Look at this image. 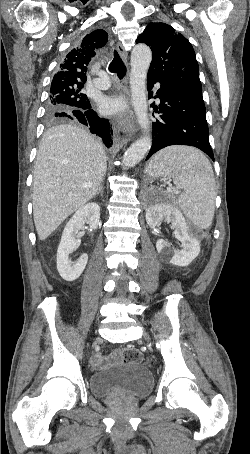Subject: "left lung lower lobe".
<instances>
[{"instance_id": "obj_1", "label": "left lung lower lobe", "mask_w": 250, "mask_h": 454, "mask_svg": "<svg viewBox=\"0 0 250 454\" xmlns=\"http://www.w3.org/2000/svg\"><path fill=\"white\" fill-rule=\"evenodd\" d=\"M156 83L159 84V88L155 98L160 99V104L159 108L154 107V111L159 115L153 122V145L146 160L170 145L197 147L214 160L208 139L209 130L202 88L171 85L148 76V90ZM152 94L153 92L149 91V95Z\"/></svg>"}]
</instances>
